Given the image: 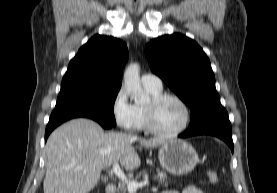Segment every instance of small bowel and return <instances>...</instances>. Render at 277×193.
<instances>
[{
	"mask_svg": "<svg viewBox=\"0 0 277 193\" xmlns=\"http://www.w3.org/2000/svg\"><path fill=\"white\" fill-rule=\"evenodd\" d=\"M162 193H204L201 189L195 185H188L181 191L178 190H165Z\"/></svg>",
	"mask_w": 277,
	"mask_h": 193,
	"instance_id": "small-bowel-1",
	"label": "small bowel"
}]
</instances>
